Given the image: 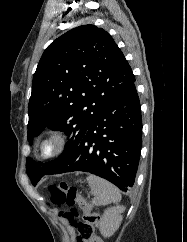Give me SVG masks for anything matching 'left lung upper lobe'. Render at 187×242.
Returning <instances> with one entry per match:
<instances>
[{
	"label": "left lung upper lobe",
	"mask_w": 187,
	"mask_h": 242,
	"mask_svg": "<svg viewBox=\"0 0 187 242\" xmlns=\"http://www.w3.org/2000/svg\"><path fill=\"white\" fill-rule=\"evenodd\" d=\"M134 81L124 54L102 28L82 25L54 40L33 75L28 140L49 127L63 131L68 142L63 153L49 163L27 158L30 179L63 162L102 110Z\"/></svg>",
	"instance_id": "obj_1"
}]
</instances>
